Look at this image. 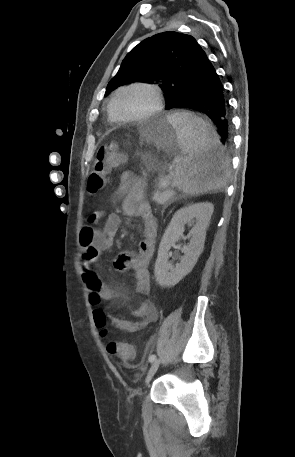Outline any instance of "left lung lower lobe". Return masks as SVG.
Masks as SVG:
<instances>
[{"instance_id":"obj_1","label":"left lung lower lobe","mask_w":295,"mask_h":457,"mask_svg":"<svg viewBox=\"0 0 295 457\" xmlns=\"http://www.w3.org/2000/svg\"><path fill=\"white\" fill-rule=\"evenodd\" d=\"M178 107L206 114L217 126L222 144H230V119L223 85L203 49L188 70L185 87L167 105V109Z\"/></svg>"}]
</instances>
